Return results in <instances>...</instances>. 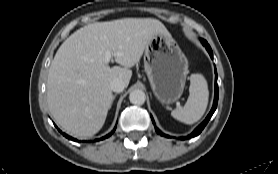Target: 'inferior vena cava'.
I'll use <instances>...</instances> for the list:
<instances>
[{
    "label": "inferior vena cava",
    "instance_id": "1",
    "mask_svg": "<svg viewBox=\"0 0 278 174\" xmlns=\"http://www.w3.org/2000/svg\"><path fill=\"white\" fill-rule=\"evenodd\" d=\"M110 88L112 91L120 93L124 90L125 84L121 79L115 78L110 82Z\"/></svg>",
    "mask_w": 278,
    "mask_h": 174
}]
</instances>
